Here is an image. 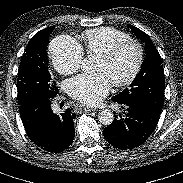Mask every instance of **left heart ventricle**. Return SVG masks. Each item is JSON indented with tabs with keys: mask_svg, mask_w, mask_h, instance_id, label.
Masks as SVG:
<instances>
[{
	"mask_svg": "<svg viewBox=\"0 0 183 183\" xmlns=\"http://www.w3.org/2000/svg\"><path fill=\"white\" fill-rule=\"evenodd\" d=\"M136 61V47L127 45L110 60H104L98 57L95 64V71L104 72L113 83L128 77L136 64Z\"/></svg>",
	"mask_w": 183,
	"mask_h": 183,
	"instance_id": "left-heart-ventricle-1",
	"label": "left heart ventricle"
}]
</instances>
